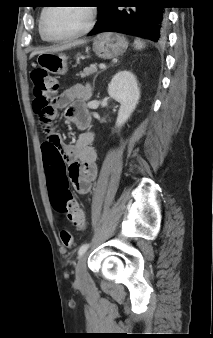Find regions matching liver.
Listing matches in <instances>:
<instances>
[{
	"instance_id": "obj_1",
	"label": "liver",
	"mask_w": 213,
	"mask_h": 338,
	"mask_svg": "<svg viewBox=\"0 0 213 338\" xmlns=\"http://www.w3.org/2000/svg\"><path fill=\"white\" fill-rule=\"evenodd\" d=\"M85 43L84 40H80V41H75L73 43H69V44H65V45H61V46H52V47H48L39 51H34L31 53L30 57H34L37 54H44V53H56V52H60L66 49H70L71 47L77 46V45H81Z\"/></svg>"
}]
</instances>
